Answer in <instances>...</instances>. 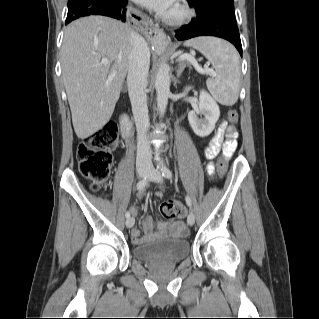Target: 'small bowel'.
I'll return each instance as SVG.
<instances>
[{
    "label": "small bowel",
    "instance_id": "c3829d8e",
    "mask_svg": "<svg viewBox=\"0 0 319 319\" xmlns=\"http://www.w3.org/2000/svg\"><path fill=\"white\" fill-rule=\"evenodd\" d=\"M224 137H225V140H224ZM237 137H238V132L236 128L228 125L226 121H222L219 124L215 135L209 141V144L205 150L206 157L213 158L221 149L223 154L226 157H230V155L233 153L236 147ZM206 172L209 177L214 176V166L212 163H209L207 165ZM156 195L161 196V191H156ZM180 205L183 209V213L181 216H185L186 209L182 204ZM131 212L133 215H137L138 209L135 207H132ZM143 228L145 230L146 237H141L140 231L137 228H134L132 230V241L134 243L136 244L143 243L147 238H151L155 234V231L157 229L160 231L171 230V231H177V232L183 233L186 230V225L184 221L182 220H179L174 224L167 225L163 223H155L152 219L148 218L143 222Z\"/></svg>",
    "mask_w": 319,
    "mask_h": 319
}]
</instances>
